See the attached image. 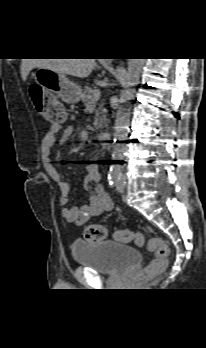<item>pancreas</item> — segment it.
Returning <instances> with one entry per match:
<instances>
[{
    "label": "pancreas",
    "mask_w": 206,
    "mask_h": 348,
    "mask_svg": "<svg viewBox=\"0 0 206 348\" xmlns=\"http://www.w3.org/2000/svg\"><path fill=\"white\" fill-rule=\"evenodd\" d=\"M93 89H91L89 86H86L83 94H82V102L86 107H89L91 104H96L97 100L92 99L91 93ZM95 111V121H94V127L101 129L103 128V125L106 123V115L105 112L106 110L103 107V104H100L98 107L93 108Z\"/></svg>",
    "instance_id": "cf45deb5"
}]
</instances>
